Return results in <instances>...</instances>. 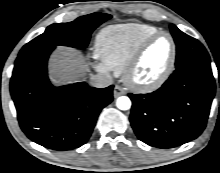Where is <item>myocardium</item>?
Returning <instances> with one entry per match:
<instances>
[{
  "label": "myocardium",
  "instance_id": "1",
  "mask_svg": "<svg viewBox=\"0 0 220 173\" xmlns=\"http://www.w3.org/2000/svg\"><path fill=\"white\" fill-rule=\"evenodd\" d=\"M163 36L168 37L171 43V55L168 66L156 79L150 82H138L134 80L133 74L138 68L144 52L146 51V49L149 47L150 44H152L155 40ZM176 58H177V45L174 37L169 32L160 31L146 38L136 48L135 52L133 53L132 57L130 58L129 62L127 63L126 67L122 72L123 81L130 89L136 92L139 93L152 92L158 89L159 87H161L171 76L175 68Z\"/></svg>",
  "mask_w": 220,
  "mask_h": 173
}]
</instances>
